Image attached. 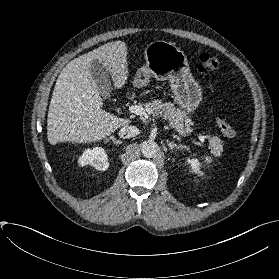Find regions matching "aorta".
I'll return each instance as SVG.
<instances>
[{
  "label": "aorta",
  "mask_w": 279,
  "mask_h": 279,
  "mask_svg": "<svg viewBox=\"0 0 279 279\" xmlns=\"http://www.w3.org/2000/svg\"><path fill=\"white\" fill-rule=\"evenodd\" d=\"M141 151L144 157L152 158L157 153V143L152 140L144 141L142 143Z\"/></svg>",
  "instance_id": "1"
}]
</instances>
